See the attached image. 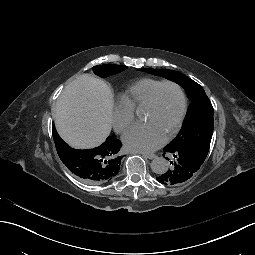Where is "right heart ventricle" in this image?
Returning <instances> with one entry per match:
<instances>
[{
	"mask_svg": "<svg viewBox=\"0 0 255 255\" xmlns=\"http://www.w3.org/2000/svg\"><path fill=\"white\" fill-rule=\"evenodd\" d=\"M161 82L153 78H144L137 81L120 94L118 104L133 112L139 110L144 107L153 89Z\"/></svg>",
	"mask_w": 255,
	"mask_h": 255,
	"instance_id": "obj_1",
	"label": "right heart ventricle"
}]
</instances>
